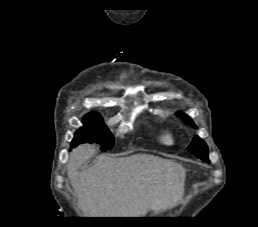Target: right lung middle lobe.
<instances>
[{
	"label": "right lung middle lobe",
	"mask_w": 258,
	"mask_h": 227,
	"mask_svg": "<svg viewBox=\"0 0 258 227\" xmlns=\"http://www.w3.org/2000/svg\"><path fill=\"white\" fill-rule=\"evenodd\" d=\"M84 126L76 131L71 147L81 143H97L101 150L112 148L114 138L98 113H90L83 119Z\"/></svg>",
	"instance_id": "right-lung-middle-lobe-1"
}]
</instances>
